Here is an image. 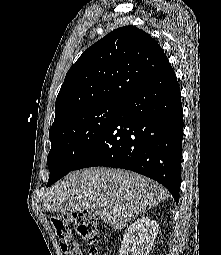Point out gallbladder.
Segmentation results:
<instances>
[{
	"label": "gallbladder",
	"mask_w": 221,
	"mask_h": 255,
	"mask_svg": "<svg viewBox=\"0 0 221 255\" xmlns=\"http://www.w3.org/2000/svg\"><path fill=\"white\" fill-rule=\"evenodd\" d=\"M89 213H90L91 215H93V216H97V215H98V213H97V211H96L95 209L89 210Z\"/></svg>",
	"instance_id": "gallbladder-1"
}]
</instances>
